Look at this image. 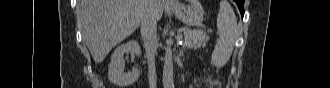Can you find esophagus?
I'll return each instance as SVG.
<instances>
[{
    "instance_id": "1",
    "label": "esophagus",
    "mask_w": 330,
    "mask_h": 88,
    "mask_svg": "<svg viewBox=\"0 0 330 88\" xmlns=\"http://www.w3.org/2000/svg\"><path fill=\"white\" fill-rule=\"evenodd\" d=\"M168 5H176L177 2L175 0H167Z\"/></svg>"
}]
</instances>
